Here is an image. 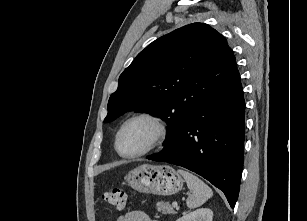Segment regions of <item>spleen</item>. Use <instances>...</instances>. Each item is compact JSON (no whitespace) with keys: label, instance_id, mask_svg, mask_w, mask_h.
Here are the masks:
<instances>
[{"label":"spleen","instance_id":"obj_1","mask_svg":"<svg viewBox=\"0 0 307 221\" xmlns=\"http://www.w3.org/2000/svg\"><path fill=\"white\" fill-rule=\"evenodd\" d=\"M178 173L184 177L187 186L192 193L189 195L186 201L188 208H197L212 197L213 192L211 188L200 178L186 170H178Z\"/></svg>","mask_w":307,"mask_h":221}]
</instances>
